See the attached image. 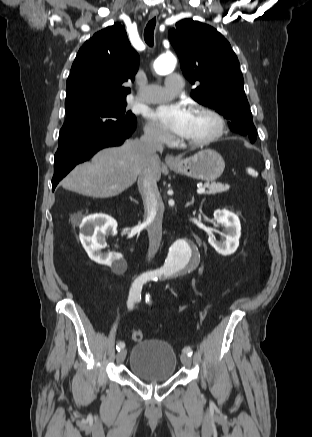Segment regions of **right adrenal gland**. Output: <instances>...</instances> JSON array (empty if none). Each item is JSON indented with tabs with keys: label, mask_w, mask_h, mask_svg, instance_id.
<instances>
[{
	"label": "right adrenal gland",
	"mask_w": 312,
	"mask_h": 437,
	"mask_svg": "<svg viewBox=\"0 0 312 437\" xmlns=\"http://www.w3.org/2000/svg\"><path fill=\"white\" fill-rule=\"evenodd\" d=\"M131 199L137 203V201L135 199H133V198H131Z\"/></svg>",
	"instance_id": "2a0ac1e0"
}]
</instances>
